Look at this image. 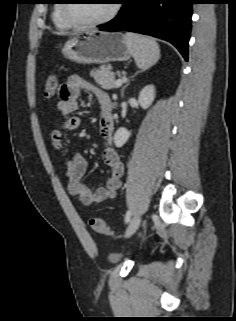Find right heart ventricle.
Returning a JSON list of instances; mask_svg holds the SVG:
<instances>
[{"label": "right heart ventricle", "mask_w": 236, "mask_h": 321, "mask_svg": "<svg viewBox=\"0 0 236 321\" xmlns=\"http://www.w3.org/2000/svg\"><path fill=\"white\" fill-rule=\"evenodd\" d=\"M61 7H62V5L60 3L55 5L53 12H52L53 23L59 29H68L72 25L64 19L62 12H61Z\"/></svg>", "instance_id": "1"}]
</instances>
